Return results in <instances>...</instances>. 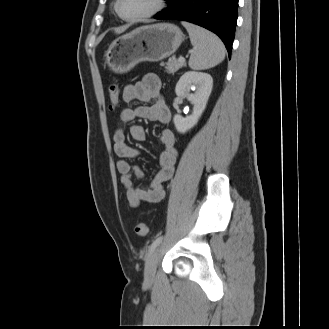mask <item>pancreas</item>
<instances>
[{
    "label": "pancreas",
    "instance_id": "obj_1",
    "mask_svg": "<svg viewBox=\"0 0 329 329\" xmlns=\"http://www.w3.org/2000/svg\"><path fill=\"white\" fill-rule=\"evenodd\" d=\"M185 63L184 62H179V60L172 58L166 63L165 69L167 73L173 74L180 68L184 67Z\"/></svg>",
    "mask_w": 329,
    "mask_h": 329
}]
</instances>
